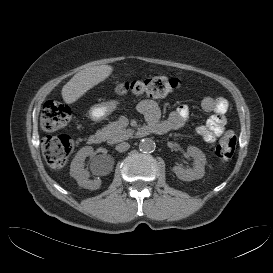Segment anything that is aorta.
Instances as JSON below:
<instances>
[{
  "mask_svg": "<svg viewBox=\"0 0 273 273\" xmlns=\"http://www.w3.org/2000/svg\"><path fill=\"white\" fill-rule=\"evenodd\" d=\"M155 148L156 144L151 138H144L139 143V150L143 153H151Z\"/></svg>",
  "mask_w": 273,
  "mask_h": 273,
  "instance_id": "1",
  "label": "aorta"
}]
</instances>
